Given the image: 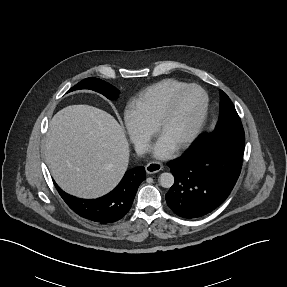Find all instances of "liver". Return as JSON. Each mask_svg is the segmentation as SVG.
Returning a JSON list of instances; mask_svg holds the SVG:
<instances>
[{"label":"liver","instance_id":"6515ba94","mask_svg":"<svg viewBox=\"0 0 287 287\" xmlns=\"http://www.w3.org/2000/svg\"><path fill=\"white\" fill-rule=\"evenodd\" d=\"M44 155L56 183L81 198H98L122 179L129 144L122 126L107 112L71 105L49 123Z\"/></svg>","mask_w":287,"mask_h":287}]
</instances>
